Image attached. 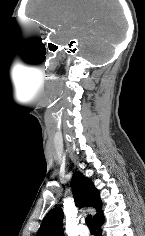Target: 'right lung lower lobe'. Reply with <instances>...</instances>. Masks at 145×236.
I'll return each instance as SVG.
<instances>
[{
	"instance_id": "obj_1",
	"label": "right lung lower lobe",
	"mask_w": 145,
	"mask_h": 236,
	"mask_svg": "<svg viewBox=\"0 0 145 236\" xmlns=\"http://www.w3.org/2000/svg\"><path fill=\"white\" fill-rule=\"evenodd\" d=\"M103 222H104V216L100 217L99 219H97V220L95 221V224H96V226H97V233H96V236H101V229H100V227H101V225L103 224Z\"/></svg>"
}]
</instances>
